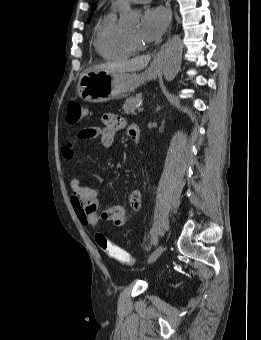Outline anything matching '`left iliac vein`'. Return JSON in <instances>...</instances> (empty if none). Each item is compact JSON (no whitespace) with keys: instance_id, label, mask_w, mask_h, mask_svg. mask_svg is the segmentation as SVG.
Instances as JSON below:
<instances>
[{"instance_id":"left-iliac-vein-1","label":"left iliac vein","mask_w":261,"mask_h":340,"mask_svg":"<svg viewBox=\"0 0 261 340\" xmlns=\"http://www.w3.org/2000/svg\"><path fill=\"white\" fill-rule=\"evenodd\" d=\"M164 251V246L163 245H159L154 251L153 253L150 255L149 259H148V263H153L155 262L160 255L163 253Z\"/></svg>"}]
</instances>
